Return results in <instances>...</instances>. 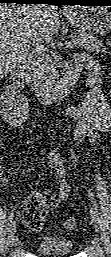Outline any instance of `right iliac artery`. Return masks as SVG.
<instances>
[{
	"mask_svg": "<svg viewBox=\"0 0 111 257\" xmlns=\"http://www.w3.org/2000/svg\"><path fill=\"white\" fill-rule=\"evenodd\" d=\"M14 210H15V209H14ZM14 210H13V211H14ZM13 211H12V213H11V215H10V218H9V219H10V221H11V223H13V222H12L13 217H14V212H13Z\"/></svg>",
	"mask_w": 111,
	"mask_h": 257,
	"instance_id": "1",
	"label": "right iliac artery"
}]
</instances>
